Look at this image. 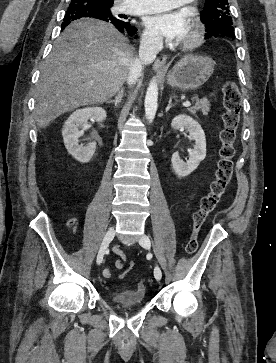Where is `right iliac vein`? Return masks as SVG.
Here are the masks:
<instances>
[{
  "label": "right iliac vein",
  "mask_w": 276,
  "mask_h": 363,
  "mask_svg": "<svg viewBox=\"0 0 276 363\" xmlns=\"http://www.w3.org/2000/svg\"><path fill=\"white\" fill-rule=\"evenodd\" d=\"M114 236H115V229H114V227H111L106 232V234L103 238V241L101 243L100 249L97 254V259H96L97 264H100L102 262L104 254H105L109 244L113 240Z\"/></svg>",
  "instance_id": "obj_1"
}]
</instances>
